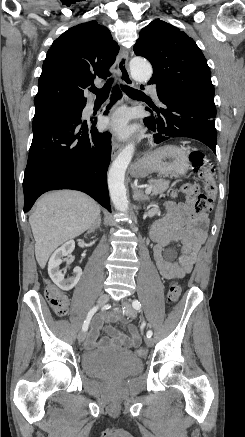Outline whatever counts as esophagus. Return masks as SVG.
I'll use <instances>...</instances> for the list:
<instances>
[{
  "label": "esophagus",
  "mask_w": 245,
  "mask_h": 437,
  "mask_svg": "<svg viewBox=\"0 0 245 437\" xmlns=\"http://www.w3.org/2000/svg\"><path fill=\"white\" fill-rule=\"evenodd\" d=\"M117 62H118V70L123 83L126 86H133L134 82L129 73L128 57L126 54V50L124 48L120 49V52L117 57ZM120 150H121V144L118 142H114L112 146L111 158L114 159L117 156V154L120 152Z\"/></svg>",
  "instance_id": "34e87169"
}]
</instances>
